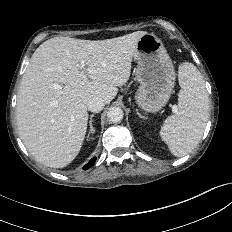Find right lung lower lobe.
Instances as JSON below:
<instances>
[{
	"label": "right lung lower lobe",
	"mask_w": 232,
	"mask_h": 232,
	"mask_svg": "<svg viewBox=\"0 0 232 232\" xmlns=\"http://www.w3.org/2000/svg\"><path fill=\"white\" fill-rule=\"evenodd\" d=\"M96 161V157L92 158L89 163H87L84 167L83 170H87L88 168H90Z\"/></svg>",
	"instance_id": "obj_1"
}]
</instances>
